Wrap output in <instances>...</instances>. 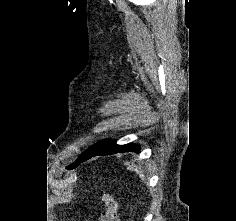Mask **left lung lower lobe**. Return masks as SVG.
<instances>
[{"instance_id":"left-lung-lower-lobe-1","label":"left lung lower lobe","mask_w":236,"mask_h":221,"mask_svg":"<svg viewBox=\"0 0 236 221\" xmlns=\"http://www.w3.org/2000/svg\"><path fill=\"white\" fill-rule=\"evenodd\" d=\"M129 151L138 152L139 146L136 144L117 145L112 140L100 141L94 144L93 146H91L88 150H86L84 153H82L79 156L76 162V166L79 165L81 162H84L94 156L109 155V154H115L118 152L123 153V152H129Z\"/></svg>"}]
</instances>
